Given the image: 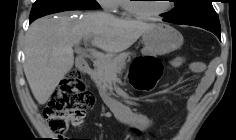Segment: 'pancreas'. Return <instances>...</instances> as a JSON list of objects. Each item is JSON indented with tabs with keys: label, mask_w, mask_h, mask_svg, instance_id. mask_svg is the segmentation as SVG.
Masks as SVG:
<instances>
[{
	"label": "pancreas",
	"mask_w": 236,
	"mask_h": 140,
	"mask_svg": "<svg viewBox=\"0 0 236 140\" xmlns=\"http://www.w3.org/2000/svg\"><path fill=\"white\" fill-rule=\"evenodd\" d=\"M129 60L130 54L122 53L114 59H106L104 62L95 61L91 78L100 90L112 92V78L125 69L126 62Z\"/></svg>",
	"instance_id": "1"
}]
</instances>
